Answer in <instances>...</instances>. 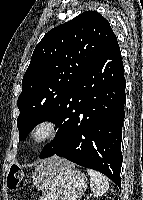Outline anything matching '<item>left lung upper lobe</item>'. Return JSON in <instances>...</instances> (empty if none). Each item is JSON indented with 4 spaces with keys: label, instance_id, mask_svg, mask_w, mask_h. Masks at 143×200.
I'll use <instances>...</instances> for the list:
<instances>
[{
    "label": "left lung upper lobe",
    "instance_id": "1",
    "mask_svg": "<svg viewBox=\"0 0 143 200\" xmlns=\"http://www.w3.org/2000/svg\"><path fill=\"white\" fill-rule=\"evenodd\" d=\"M114 37L109 22L96 11L84 12L45 34L22 80L19 140L42 120H53L59 129L67 123L69 94Z\"/></svg>",
    "mask_w": 143,
    "mask_h": 200
}]
</instances>
